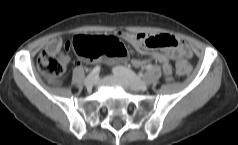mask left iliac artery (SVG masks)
Masks as SVG:
<instances>
[{"mask_svg":"<svg viewBox=\"0 0 238 145\" xmlns=\"http://www.w3.org/2000/svg\"><path fill=\"white\" fill-rule=\"evenodd\" d=\"M151 68H152L151 64H148L147 67H146L147 70H150Z\"/></svg>","mask_w":238,"mask_h":145,"instance_id":"obj_1","label":"left iliac artery"}]
</instances>
